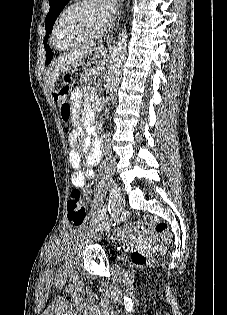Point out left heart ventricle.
<instances>
[{"mask_svg":"<svg viewBox=\"0 0 227 315\" xmlns=\"http://www.w3.org/2000/svg\"><path fill=\"white\" fill-rule=\"evenodd\" d=\"M106 24V19L98 3L77 6L70 10L61 20L56 42L60 47L79 44L96 35Z\"/></svg>","mask_w":227,"mask_h":315,"instance_id":"1","label":"left heart ventricle"}]
</instances>
